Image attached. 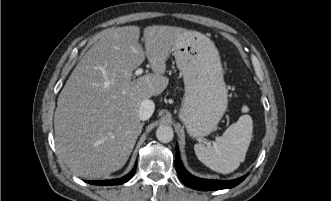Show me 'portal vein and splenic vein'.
<instances>
[{
    "label": "portal vein and splenic vein",
    "instance_id": "portal-vein-and-splenic-vein-1",
    "mask_svg": "<svg viewBox=\"0 0 331 201\" xmlns=\"http://www.w3.org/2000/svg\"><path fill=\"white\" fill-rule=\"evenodd\" d=\"M142 73H143V70L141 68H139L135 71L136 76L141 75Z\"/></svg>",
    "mask_w": 331,
    "mask_h": 201
}]
</instances>
